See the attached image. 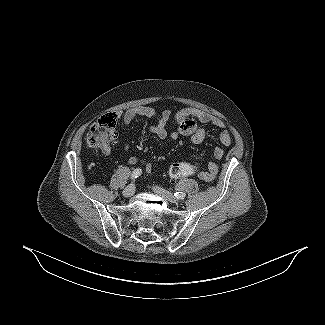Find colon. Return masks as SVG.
<instances>
[{
	"instance_id": "5ec220e1",
	"label": "colon",
	"mask_w": 325,
	"mask_h": 325,
	"mask_svg": "<svg viewBox=\"0 0 325 325\" xmlns=\"http://www.w3.org/2000/svg\"><path fill=\"white\" fill-rule=\"evenodd\" d=\"M116 115L106 113L94 123L87 135V144L94 149H105L116 138ZM197 167L189 162H176L170 165L168 174L171 178L177 179L193 175Z\"/></svg>"
}]
</instances>
